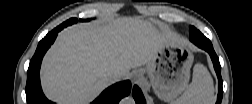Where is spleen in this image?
<instances>
[{"mask_svg": "<svg viewBox=\"0 0 252 104\" xmlns=\"http://www.w3.org/2000/svg\"><path fill=\"white\" fill-rule=\"evenodd\" d=\"M214 100L213 80L205 66L196 64L193 68L192 82L175 103L211 104Z\"/></svg>", "mask_w": 252, "mask_h": 104, "instance_id": "spleen-1", "label": "spleen"}]
</instances>
